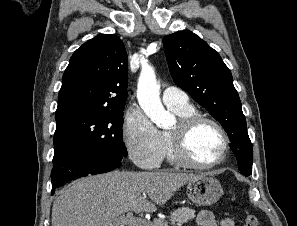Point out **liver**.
I'll return each instance as SVG.
<instances>
[{"mask_svg":"<svg viewBox=\"0 0 297 226\" xmlns=\"http://www.w3.org/2000/svg\"><path fill=\"white\" fill-rule=\"evenodd\" d=\"M204 175L113 171L75 180L53 203L52 226H115V219L128 211H156L179 188Z\"/></svg>","mask_w":297,"mask_h":226,"instance_id":"6515ba94","label":"liver"}]
</instances>
